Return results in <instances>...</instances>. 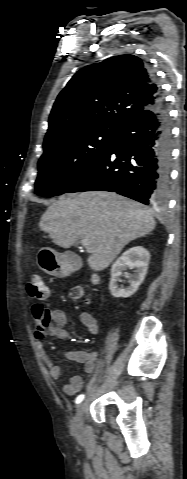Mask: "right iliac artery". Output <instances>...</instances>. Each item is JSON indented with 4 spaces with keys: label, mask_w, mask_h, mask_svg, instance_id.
Returning <instances> with one entry per match:
<instances>
[{
    "label": "right iliac artery",
    "mask_w": 187,
    "mask_h": 479,
    "mask_svg": "<svg viewBox=\"0 0 187 479\" xmlns=\"http://www.w3.org/2000/svg\"><path fill=\"white\" fill-rule=\"evenodd\" d=\"M83 399H84V395H83V394L79 395V396L76 398V401H75L76 404H79L80 402H82Z\"/></svg>",
    "instance_id": "82829eb1"
}]
</instances>
